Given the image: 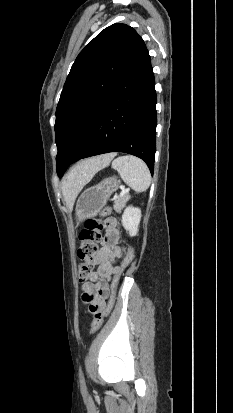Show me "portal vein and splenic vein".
<instances>
[{"instance_id": "1", "label": "portal vein and splenic vein", "mask_w": 233, "mask_h": 413, "mask_svg": "<svg viewBox=\"0 0 233 413\" xmlns=\"http://www.w3.org/2000/svg\"><path fill=\"white\" fill-rule=\"evenodd\" d=\"M128 192V189L122 188V191L120 193V196L125 195Z\"/></svg>"}]
</instances>
